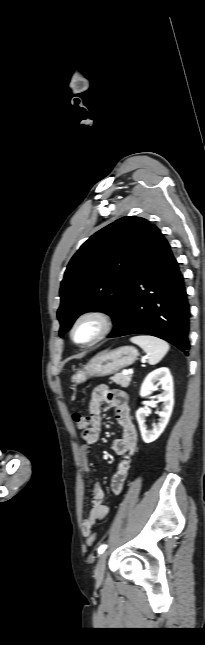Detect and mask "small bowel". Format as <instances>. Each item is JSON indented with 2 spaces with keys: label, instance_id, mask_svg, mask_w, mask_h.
I'll use <instances>...</instances> for the list:
<instances>
[{
  "label": "small bowel",
  "instance_id": "c3829d8e",
  "mask_svg": "<svg viewBox=\"0 0 205 645\" xmlns=\"http://www.w3.org/2000/svg\"><path fill=\"white\" fill-rule=\"evenodd\" d=\"M103 404H108L115 409V417L121 428L122 436L113 444L119 462L111 478V490L114 494L121 493L127 479L131 462L135 456L138 443L137 430L132 422L128 397L125 392L112 390L106 385L97 386L91 395L89 403L90 427L82 435L85 443L79 448L80 458L84 470L93 472V465L89 460V446L94 445L101 433V409ZM105 493L98 484H94L91 493L90 508L82 523V533L88 536L95 524L103 520L108 514V507L104 503Z\"/></svg>",
  "mask_w": 205,
  "mask_h": 645
}]
</instances>
